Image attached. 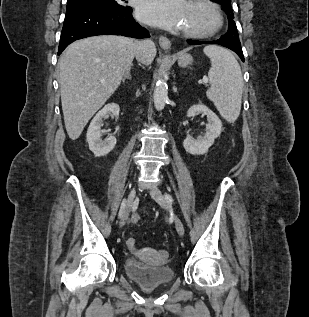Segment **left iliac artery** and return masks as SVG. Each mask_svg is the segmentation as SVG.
I'll list each match as a JSON object with an SVG mask.
<instances>
[{
  "label": "left iliac artery",
  "mask_w": 309,
  "mask_h": 317,
  "mask_svg": "<svg viewBox=\"0 0 309 317\" xmlns=\"http://www.w3.org/2000/svg\"><path fill=\"white\" fill-rule=\"evenodd\" d=\"M165 199L167 200V202L172 203L174 200L172 198V196L168 193H165Z\"/></svg>",
  "instance_id": "1"
}]
</instances>
